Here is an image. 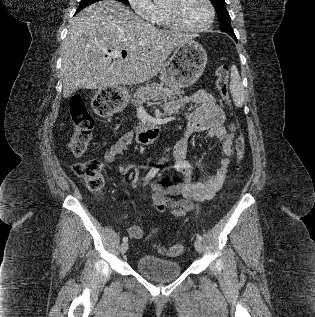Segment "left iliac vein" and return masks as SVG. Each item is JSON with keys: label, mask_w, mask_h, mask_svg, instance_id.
Returning <instances> with one entry per match:
<instances>
[{"label": "left iliac vein", "mask_w": 315, "mask_h": 317, "mask_svg": "<svg viewBox=\"0 0 315 317\" xmlns=\"http://www.w3.org/2000/svg\"><path fill=\"white\" fill-rule=\"evenodd\" d=\"M194 247L198 253H201L203 250L202 242L198 239L194 242Z\"/></svg>", "instance_id": "4c4485c4"}]
</instances>
